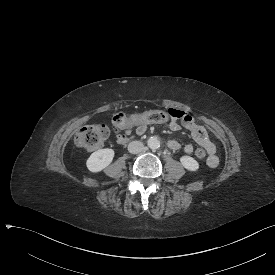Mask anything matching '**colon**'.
Instances as JSON below:
<instances>
[{
    "instance_id": "1",
    "label": "colon",
    "mask_w": 275,
    "mask_h": 275,
    "mask_svg": "<svg viewBox=\"0 0 275 275\" xmlns=\"http://www.w3.org/2000/svg\"><path fill=\"white\" fill-rule=\"evenodd\" d=\"M169 115L165 111L138 112L136 114L118 115L113 118L110 127L114 131H122L126 126L140 123H167ZM110 130L105 124H95L81 128L76 136V143L79 147L89 151L100 149L109 138ZM195 155L202 159L206 152L202 148H197Z\"/></svg>"
}]
</instances>
